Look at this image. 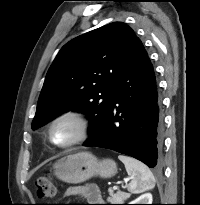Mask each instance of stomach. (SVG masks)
I'll list each match as a JSON object with an SVG mask.
<instances>
[{"label":"stomach","instance_id":"1","mask_svg":"<svg viewBox=\"0 0 200 205\" xmlns=\"http://www.w3.org/2000/svg\"><path fill=\"white\" fill-rule=\"evenodd\" d=\"M117 172L111 159L98 160L89 152H78L59 159L53 165V174L61 181L77 184L93 176L110 178Z\"/></svg>","mask_w":200,"mask_h":205}]
</instances>
